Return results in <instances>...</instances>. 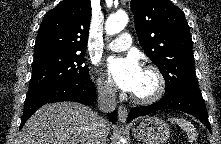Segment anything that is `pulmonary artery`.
I'll return each mask as SVG.
<instances>
[{"instance_id": "1", "label": "pulmonary artery", "mask_w": 221, "mask_h": 144, "mask_svg": "<svg viewBox=\"0 0 221 144\" xmlns=\"http://www.w3.org/2000/svg\"><path fill=\"white\" fill-rule=\"evenodd\" d=\"M131 42H132V39H131L130 34L127 32H124L120 34L116 39L111 41L107 45V48L112 51L121 52L130 48Z\"/></svg>"}]
</instances>
